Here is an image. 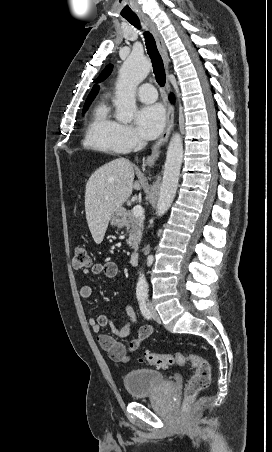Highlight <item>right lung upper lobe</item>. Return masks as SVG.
<instances>
[{
    "label": "right lung upper lobe",
    "mask_w": 272,
    "mask_h": 452,
    "mask_svg": "<svg viewBox=\"0 0 272 452\" xmlns=\"http://www.w3.org/2000/svg\"><path fill=\"white\" fill-rule=\"evenodd\" d=\"M99 87L94 86L91 90L90 94L88 95L85 104H91L92 100L94 99L95 95L98 93Z\"/></svg>",
    "instance_id": "obj_1"
}]
</instances>
